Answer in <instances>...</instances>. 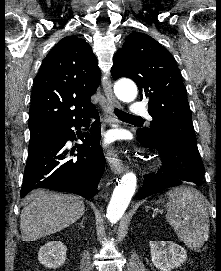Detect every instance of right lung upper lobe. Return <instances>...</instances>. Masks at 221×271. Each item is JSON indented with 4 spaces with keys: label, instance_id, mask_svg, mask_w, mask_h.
<instances>
[{
    "label": "right lung upper lobe",
    "instance_id": "right-lung-upper-lobe-1",
    "mask_svg": "<svg viewBox=\"0 0 221 271\" xmlns=\"http://www.w3.org/2000/svg\"><path fill=\"white\" fill-rule=\"evenodd\" d=\"M100 81L91 46L81 38L61 39L42 62L34 79L30 131L61 127L95 110L90 98Z\"/></svg>",
    "mask_w": 221,
    "mask_h": 271
}]
</instances>
